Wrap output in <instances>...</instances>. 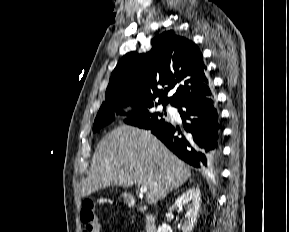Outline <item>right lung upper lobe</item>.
Returning a JSON list of instances; mask_svg holds the SVG:
<instances>
[{"label":"right lung upper lobe","instance_id":"obj_1","mask_svg":"<svg viewBox=\"0 0 289 232\" xmlns=\"http://www.w3.org/2000/svg\"><path fill=\"white\" fill-rule=\"evenodd\" d=\"M146 53L124 55L111 74L105 98L133 97L158 103H180L213 95L198 47L173 30L157 35ZM157 85L168 87L158 89ZM176 88L171 97L168 91Z\"/></svg>","mask_w":289,"mask_h":232}]
</instances>
